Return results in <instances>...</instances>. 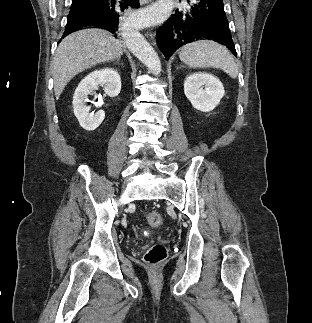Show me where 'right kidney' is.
Returning a JSON list of instances; mask_svg holds the SVG:
<instances>
[{
	"label": "right kidney",
	"instance_id": "ca27d5eb",
	"mask_svg": "<svg viewBox=\"0 0 312 323\" xmlns=\"http://www.w3.org/2000/svg\"><path fill=\"white\" fill-rule=\"evenodd\" d=\"M98 86H103L105 94L107 96H118L121 90V80L118 72L113 68H103V70H95L88 76H85L84 80H81L76 88L73 96V110L74 114L83 130H96L103 122L105 118V112L98 110V112H89L91 106H86L89 96L93 90H98Z\"/></svg>",
	"mask_w": 312,
	"mask_h": 323
}]
</instances>
